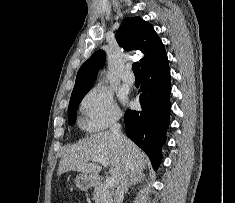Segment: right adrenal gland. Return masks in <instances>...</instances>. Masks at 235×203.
Listing matches in <instances>:
<instances>
[{"label":"right adrenal gland","instance_id":"2a0ac1e0","mask_svg":"<svg viewBox=\"0 0 235 203\" xmlns=\"http://www.w3.org/2000/svg\"><path fill=\"white\" fill-rule=\"evenodd\" d=\"M143 178H144V175L142 173L131 174L129 183H128L126 190H125V193H128V190L132 185H136V184L140 183L143 180Z\"/></svg>","mask_w":235,"mask_h":203}]
</instances>
